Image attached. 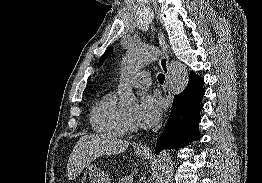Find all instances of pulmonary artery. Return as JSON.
<instances>
[{
  "label": "pulmonary artery",
  "instance_id": "1",
  "mask_svg": "<svg viewBox=\"0 0 262 183\" xmlns=\"http://www.w3.org/2000/svg\"><path fill=\"white\" fill-rule=\"evenodd\" d=\"M130 82L138 88H147L151 85V75L148 72H140L134 75Z\"/></svg>",
  "mask_w": 262,
  "mask_h": 183
}]
</instances>
